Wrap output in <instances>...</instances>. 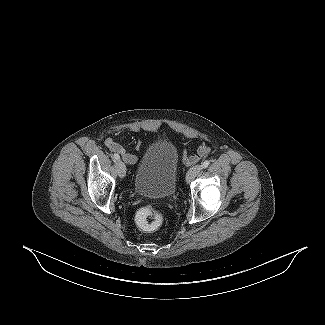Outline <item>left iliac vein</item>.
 Segmentation results:
<instances>
[{
    "label": "left iliac vein",
    "mask_w": 325,
    "mask_h": 325,
    "mask_svg": "<svg viewBox=\"0 0 325 325\" xmlns=\"http://www.w3.org/2000/svg\"><path fill=\"white\" fill-rule=\"evenodd\" d=\"M201 170L202 166L199 164L191 167L186 174V181L190 182L193 180L201 172Z\"/></svg>",
    "instance_id": "obj_1"
}]
</instances>
